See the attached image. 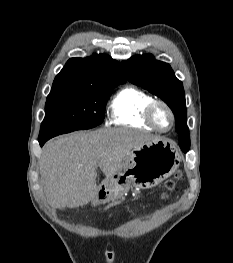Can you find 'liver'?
Returning <instances> with one entry per match:
<instances>
[{"label": "liver", "instance_id": "liver-1", "mask_svg": "<svg viewBox=\"0 0 233 263\" xmlns=\"http://www.w3.org/2000/svg\"><path fill=\"white\" fill-rule=\"evenodd\" d=\"M157 136L128 128L76 132L45 144L40 158V175L49 204L76 208L98 195L99 167L106 179L114 176L135 147Z\"/></svg>", "mask_w": 233, "mask_h": 263}]
</instances>
